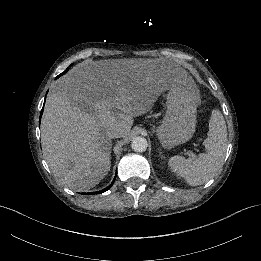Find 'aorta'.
I'll return each instance as SVG.
<instances>
[{
	"label": "aorta",
	"instance_id": "obj_1",
	"mask_svg": "<svg viewBox=\"0 0 261 261\" xmlns=\"http://www.w3.org/2000/svg\"><path fill=\"white\" fill-rule=\"evenodd\" d=\"M147 147V140L142 136L135 137L131 142V148L135 152L143 153L146 151Z\"/></svg>",
	"mask_w": 261,
	"mask_h": 261
}]
</instances>
